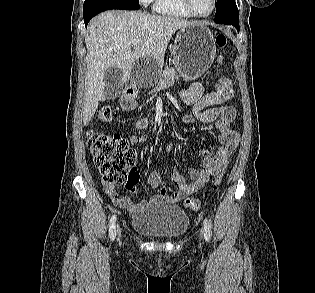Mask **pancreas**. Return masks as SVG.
<instances>
[{
	"label": "pancreas",
	"mask_w": 315,
	"mask_h": 293,
	"mask_svg": "<svg viewBox=\"0 0 315 293\" xmlns=\"http://www.w3.org/2000/svg\"><path fill=\"white\" fill-rule=\"evenodd\" d=\"M179 74H180L179 67L178 66L172 67L171 63H169V65H166L164 67V70L160 74L158 88L173 85L175 83V80L178 79Z\"/></svg>",
	"instance_id": "1"
}]
</instances>
